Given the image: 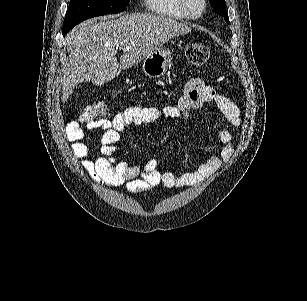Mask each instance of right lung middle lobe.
<instances>
[{
    "instance_id": "1",
    "label": "right lung middle lobe",
    "mask_w": 307,
    "mask_h": 301,
    "mask_svg": "<svg viewBox=\"0 0 307 301\" xmlns=\"http://www.w3.org/2000/svg\"><path fill=\"white\" fill-rule=\"evenodd\" d=\"M130 0H70L63 23L65 36L75 25L95 16L116 14L126 10Z\"/></svg>"
}]
</instances>
